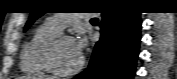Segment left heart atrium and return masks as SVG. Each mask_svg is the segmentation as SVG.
Instances as JSON below:
<instances>
[{"label": "left heart atrium", "instance_id": "1", "mask_svg": "<svg viewBox=\"0 0 177 79\" xmlns=\"http://www.w3.org/2000/svg\"><path fill=\"white\" fill-rule=\"evenodd\" d=\"M74 42H75L77 52L81 56L84 49L87 47V44H88L87 39L86 37L82 36L77 41H74Z\"/></svg>", "mask_w": 177, "mask_h": 79}]
</instances>
